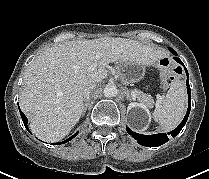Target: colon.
<instances>
[{"label": "colon", "mask_w": 209, "mask_h": 179, "mask_svg": "<svg viewBox=\"0 0 209 179\" xmlns=\"http://www.w3.org/2000/svg\"><path fill=\"white\" fill-rule=\"evenodd\" d=\"M162 65L167 67L168 62L163 60ZM181 70L179 68H173L167 71L166 76L164 78V85H170L174 80L178 79L181 76Z\"/></svg>", "instance_id": "colon-1"}]
</instances>
